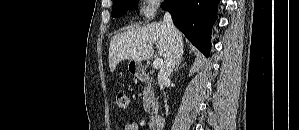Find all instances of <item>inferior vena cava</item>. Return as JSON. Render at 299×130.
Listing matches in <instances>:
<instances>
[{
  "mask_svg": "<svg viewBox=\"0 0 299 130\" xmlns=\"http://www.w3.org/2000/svg\"><path fill=\"white\" fill-rule=\"evenodd\" d=\"M169 34L170 50L158 73V84L162 90L169 82V77L183 54V44L180 32L174 26L171 14L166 12L163 19Z\"/></svg>",
  "mask_w": 299,
  "mask_h": 130,
  "instance_id": "1",
  "label": "inferior vena cava"
}]
</instances>
